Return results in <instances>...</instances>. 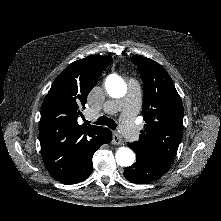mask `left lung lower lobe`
<instances>
[{"label":"left lung lower lobe","instance_id":"1","mask_svg":"<svg viewBox=\"0 0 221 221\" xmlns=\"http://www.w3.org/2000/svg\"><path fill=\"white\" fill-rule=\"evenodd\" d=\"M128 146L133 149L132 143H129ZM172 162L173 158L148 159L137 157L136 162L127 167L123 174L130 182L146 184L163 176Z\"/></svg>","mask_w":221,"mask_h":221}]
</instances>
